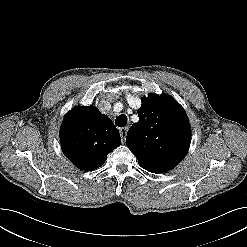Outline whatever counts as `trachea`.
Instances as JSON below:
<instances>
[{"label": "trachea", "mask_w": 247, "mask_h": 247, "mask_svg": "<svg viewBox=\"0 0 247 247\" xmlns=\"http://www.w3.org/2000/svg\"><path fill=\"white\" fill-rule=\"evenodd\" d=\"M115 124L118 127H124L127 124V116L124 114L118 116L115 120Z\"/></svg>", "instance_id": "3493384b"}]
</instances>
